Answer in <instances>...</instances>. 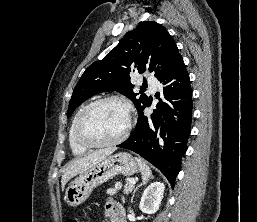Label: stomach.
<instances>
[{"label": "stomach", "instance_id": "1", "mask_svg": "<svg viewBox=\"0 0 257 222\" xmlns=\"http://www.w3.org/2000/svg\"><path fill=\"white\" fill-rule=\"evenodd\" d=\"M140 169L136 158L129 153L121 152L107 156L87 171L76 177L65 191V201L71 207L82 204L93 189L107 182L118 174L131 176Z\"/></svg>", "mask_w": 257, "mask_h": 222}]
</instances>
